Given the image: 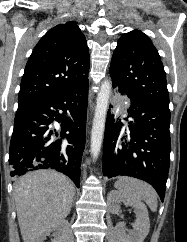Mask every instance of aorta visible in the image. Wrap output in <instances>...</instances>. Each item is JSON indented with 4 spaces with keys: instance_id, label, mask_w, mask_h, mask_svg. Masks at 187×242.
<instances>
[{
    "instance_id": "762f6f07",
    "label": "aorta",
    "mask_w": 187,
    "mask_h": 242,
    "mask_svg": "<svg viewBox=\"0 0 187 242\" xmlns=\"http://www.w3.org/2000/svg\"><path fill=\"white\" fill-rule=\"evenodd\" d=\"M112 83L110 80H104L96 100V108L93 118L91 131V155L93 161L98 158L103 142L108 101L111 93Z\"/></svg>"
}]
</instances>
